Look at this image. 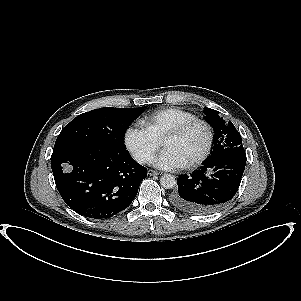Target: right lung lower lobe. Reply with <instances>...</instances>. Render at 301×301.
<instances>
[{"label":"right lung lower lobe","mask_w":301,"mask_h":301,"mask_svg":"<svg viewBox=\"0 0 301 301\" xmlns=\"http://www.w3.org/2000/svg\"><path fill=\"white\" fill-rule=\"evenodd\" d=\"M51 168L65 203L94 219H107L127 208L147 176V169L127 150L99 143L54 148Z\"/></svg>","instance_id":"98d812e1"}]
</instances>
